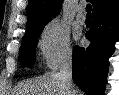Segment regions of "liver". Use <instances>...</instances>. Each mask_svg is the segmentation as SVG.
Returning a JSON list of instances; mask_svg holds the SVG:
<instances>
[{
    "label": "liver",
    "mask_w": 119,
    "mask_h": 95,
    "mask_svg": "<svg viewBox=\"0 0 119 95\" xmlns=\"http://www.w3.org/2000/svg\"><path fill=\"white\" fill-rule=\"evenodd\" d=\"M19 93V95H69L66 84L57 77L56 73L26 82L19 87ZM77 95L83 93L78 90Z\"/></svg>",
    "instance_id": "obj_1"
}]
</instances>
